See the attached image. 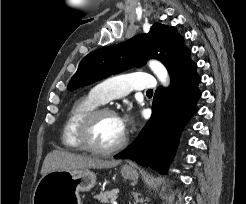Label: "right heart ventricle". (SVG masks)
Here are the masks:
<instances>
[{"label": "right heart ventricle", "mask_w": 246, "mask_h": 204, "mask_svg": "<svg viewBox=\"0 0 246 204\" xmlns=\"http://www.w3.org/2000/svg\"><path fill=\"white\" fill-rule=\"evenodd\" d=\"M100 103L90 93L77 99L71 106L62 128V143L71 150H82L78 139L77 129L83 117L97 108Z\"/></svg>", "instance_id": "right-heart-ventricle-1"}]
</instances>
